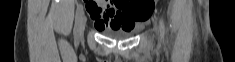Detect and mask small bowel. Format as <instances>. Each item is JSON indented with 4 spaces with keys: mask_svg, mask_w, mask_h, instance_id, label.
<instances>
[{
    "mask_svg": "<svg viewBox=\"0 0 235 62\" xmlns=\"http://www.w3.org/2000/svg\"><path fill=\"white\" fill-rule=\"evenodd\" d=\"M127 1H102L89 5L87 11L99 31L117 29L131 31L139 22L125 13Z\"/></svg>",
    "mask_w": 235,
    "mask_h": 62,
    "instance_id": "small-bowel-1",
    "label": "small bowel"
}]
</instances>
